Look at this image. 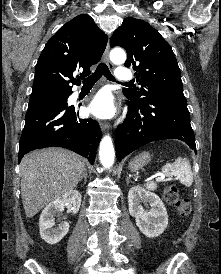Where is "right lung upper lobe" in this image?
<instances>
[{"label":"right lung upper lobe","mask_w":221,"mask_h":274,"mask_svg":"<svg viewBox=\"0 0 221 274\" xmlns=\"http://www.w3.org/2000/svg\"><path fill=\"white\" fill-rule=\"evenodd\" d=\"M107 36L86 14L63 25L45 45L36 65L30 100L72 93L79 78L90 74L105 50ZM82 71L80 77L74 75Z\"/></svg>","instance_id":"1"}]
</instances>
